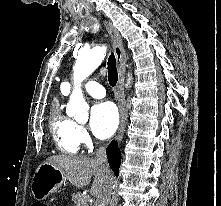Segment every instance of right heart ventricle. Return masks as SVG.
I'll return each mask as SVG.
<instances>
[{"mask_svg": "<svg viewBox=\"0 0 221 206\" xmlns=\"http://www.w3.org/2000/svg\"><path fill=\"white\" fill-rule=\"evenodd\" d=\"M68 93L61 87V96L52 101L49 129L56 147L66 154H76L80 143L77 136L78 125L62 110V97Z\"/></svg>", "mask_w": 221, "mask_h": 206, "instance_id": "1", "label": "right heart ventricle"}]
</instances>
